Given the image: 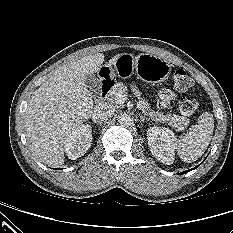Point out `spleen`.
I'll use <instances>...</instances> for the list:
<instances>
[{
	"label": "spleen",
	"instance_id": "obj_1",
	"mask_svg": "<svg viewBox=\"0 0 233 233\" xmlns=\"http://www.w3.org/2000/svg\"><path fill=\"white\" fill-rule=\"evenodd\" d=\"M214 130V118L210 112L201 114L198 118V125L193 131L182 135L175 143L178 156L187 163L200 158L207 149Z\"/></svg>",
	"mask_w": 233,
	"mask_h": 233
}]
</instances>
